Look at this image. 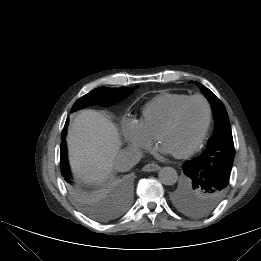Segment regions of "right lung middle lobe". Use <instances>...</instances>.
I'll return each mask as SVG.
<instances>
[{
  "label": "right lung middle lobe",
  "instance_id": "obj_1",
  "mask_svg": "<svg viewBox=\"0 0 261 261\" xmlns=\"http://www.w3.org/2000/svg\"><path fill=\"white\" fill-rule=\"evenodd\" d=\"M133 90V88H96L77 100L72 107V111L95 103H100L102 105L116 104L130 95ZM61 173L67 182L70 194L77 203L78 207L85 214L96 220H105L109 218V216L105 212H103L101 207L96 202L98 199L105 195V192H94L83 189L74 181H72L69 169L61 168Z\"/></svg>",
  "mask_w": 261,
  "mask_h": 261
}]
</instances>
